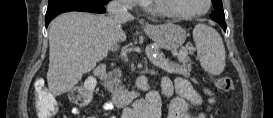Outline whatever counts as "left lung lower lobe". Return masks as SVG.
<instances>
[{"label":"left lung lower lobe","mask_w":273,"mask_h":118,"mask_svg":"<svg viewBox=\"0 0 273 118\" xmlns=\"http://www.w3.org/2000/svg\"><path fill=\"white\" fill-rule=\"evenodd\" d=\"M220 26L223 28L224 31H226V24L225 23L220 24Z\"/></svg>","instance_id":"left-lung-lower-lobe-1"}]
</instances>
